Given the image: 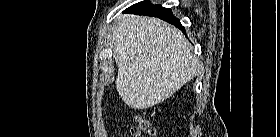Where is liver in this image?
Returning <instances> with one entry per match:
<instances>
[{"label":"liver","instance_id":"1","mask_svg":"<svg viewBox=\"0 0 280 137\" xmlns=\"http://www.w3.org/2000/svg\"><path fill=\"white\" fill-rule=\"evenodd\" d=\"M116 89L134 109L152 107L190 81L198 61L181 31L153 17L120 15L113 32Z\"/></svg>","mask_w":280,"mask_h":137}]
</instances>
